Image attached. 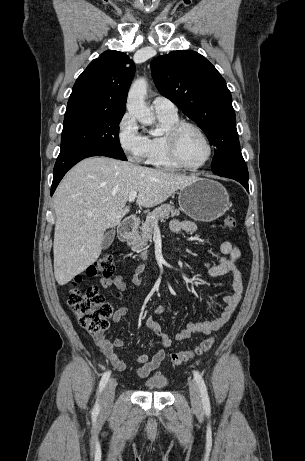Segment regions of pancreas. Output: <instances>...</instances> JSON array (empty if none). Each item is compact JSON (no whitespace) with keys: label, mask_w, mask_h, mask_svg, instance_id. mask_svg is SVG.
<instances>
[{"label":"pancreas","mask_w":305,"mask_h":461,"mask_svg":"<svg viewBox=\"0 0 305 461\" xmlns=\"http://www.w3.org/2000/svg\"><path fill=\"white\" fill-rule=\"evenodd\" d=\"M179 214L180 211L175 209L172 204H162L160 207L155 208L151 213L148 214L145 222L142 223L140 232L135 231L131 234L129 240L127 241V245L131 248L132 251L140 253L141 257H147L148 251L146 245L148 241L151 240L156 222L158 220L163 222L170 216H179Z\"/></svg>","instance_id":"pancreas-1"}]
</instances>
